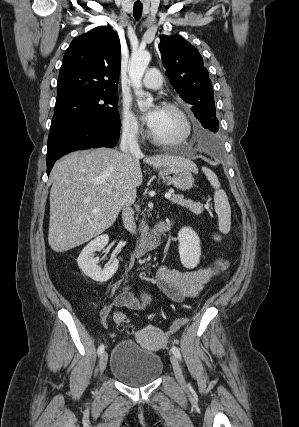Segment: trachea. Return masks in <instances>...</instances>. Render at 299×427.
Instances as JSON below:
<instances>
[{
	"label": "trachea",
	"instance_id": "trachea-1",
	"mask_svg": "<svg viewBox=\"0 0 299 427\" xmlns=\"http://www.w3.org/2000/svg\"><path fill=\"white\" fill-rule=\"evenodd\" d=\"M143 5L142 4H134L133 7V16L136 20H139L142 16Z\"/></svg>",
	"mask_w": 299,
	"mask_h": 427
}]
</instances>
